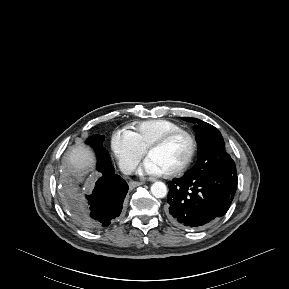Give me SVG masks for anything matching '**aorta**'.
I'll list each match as a JSON object with an SVG mask.
<instances>
[{
	"label": "aorta",
	"mask_w": 289,
	"mask_h": 289,
	"mask_svg": "<svg viewBox=\"0 0 289 289\" xmlns=\"http://www.w3.org/2000/svg\"><path fill=\"white\" fill-rule=\"evenodd\" d=\"M151 193L156 198H164L167 195V187L163 182H155L151 185Z\"/></svg>",
	"instance_id": "obj_1"
}]
</instances>
